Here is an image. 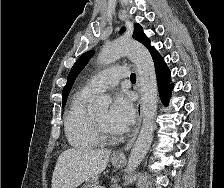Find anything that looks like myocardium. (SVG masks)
I'll list each match as a JSON object with an SVG mask.
<instances>
[{"label":"myocardium","instance_id":"obj_1","mask_svg":"<svg viewBox=\"0 0 224 188\" xmlns=\"http://www.w3.org/2000/svg\"><path fill=\"white\" fill-rule=\"evenodd\" d=\"M92 127L99 142L114 143L119 139V136L117 134H109L105 130L95 114L92 115Z\"/></svg>","mask_w":224,"mask_h":188}]
</instances>
